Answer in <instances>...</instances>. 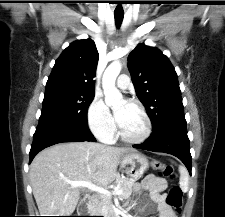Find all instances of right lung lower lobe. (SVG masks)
<instances>
[{"instance_id": "obj_1", "label": "right lung lower lobe", "mask_w": 225, "mask_h": 217, "mask_svg": "<svg viewBox=\"0 0 225 217\" xmlns=\"http://www.w3.org/2000/svg\"><path fill=\"white\" fill-rule=\"evenodd\" d=\"M95 141L88 125H78L56 119H39L38 127L33 136L29 153L30 162L35 155L46 147L61 142Z\"/></svg>"}]
</instances>
